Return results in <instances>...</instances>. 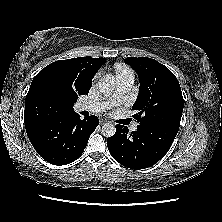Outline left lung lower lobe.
Segmentation results:
<instances>
[{
  "label": "left lung lower lobe",
  "mask_w": 222,
  "mask_h": 222,
  "mask_svg": "<svg viewBox=\"0 0 222 222\" xmlns=\"http://www.w3.org/2000/svg\"><path fill=\"white\" fill-rule=\"evenodd\" d=\"M179 126L170 123L138 125L128 132L124 125H116L115 134L107 139L112 157L132 169H145L164 157L170 149Z\"/></svg>",
  "instance_id": "obj_1"
}]
</instances>
